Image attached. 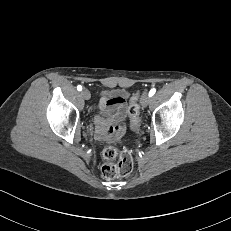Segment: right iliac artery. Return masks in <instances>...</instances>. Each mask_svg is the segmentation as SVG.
Wrapping results in <instances>:
<instances>
[{"label":"right iliac artery","instance_id":"right-iliac-artery-1","mask_svg":"<svg viewBox=\"0 0 231 231\" xmlns=\"http://www.w3.org/2000/svg\"><path fill=\"white\" fill-rule=\"evenodd\" d=\"M77 90H78V91H81V90H82V86L78 85V86H77Z\"/></svg>","mask_w":231,"mask_h":231}]
</instances>
